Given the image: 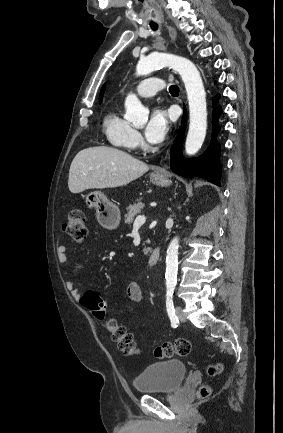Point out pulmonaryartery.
Masks as SVG:
<instances>
[{"label":"pulmonary artery","mask_w":283,"mask_h":433,"mask_svg":"<svg viewBox=\"0 0 283 433\" xmlns=\"http://www.w3.org/2000/svg\"><path fill=\"white\" fill-rule=\"evenodd\" d=\"M166 80L163 78H147L136 86V93L143 97H153L157 92L165 90Z\"/></svg>","instance_id":"e3ab8cb5"}]
</instances>
